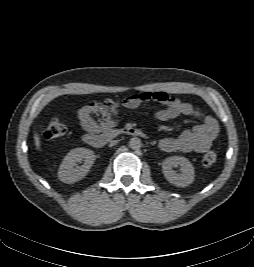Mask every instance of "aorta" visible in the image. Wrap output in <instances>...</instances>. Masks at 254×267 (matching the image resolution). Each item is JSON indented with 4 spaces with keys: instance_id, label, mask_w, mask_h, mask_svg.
<instances>
[{
    "instance_id": "762f6f07",
    "label": "aorta",
    "mask_w": 254,
    "mask_h": 267,
    "mask_svg": "<svg viewBox=\"0 0 254 267\" xmlns=\"http://www.w3.org/2000/svg\"><path fill=\"white\" fill-rule=\"evenodd\" d=\"M129 147L133 150H138L141 148V140L138 137H133L129 141Z\"/></svg>"
}]
</instances>
